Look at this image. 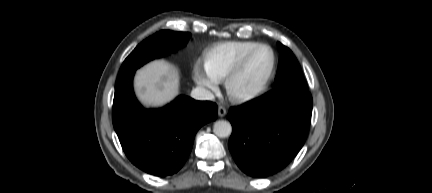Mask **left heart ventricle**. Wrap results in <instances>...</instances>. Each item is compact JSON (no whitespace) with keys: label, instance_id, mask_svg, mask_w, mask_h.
Segmentation results:
<instances>
[{"label":"left heart ventricle","instance_id":"obj_1","mask_svg":"<svg viewBox=\"0 0 432 193\" xmlns=\"http://www.w3.org/2000/svg\"><path fill=\"white\" fill-rule=\"evenodd\" d=\"M271 65V51L267 48L258 50L234 80V89L240 93H248L258 89L264 83Z\"/></svg>","mask_w":432,"mask_h":193}]
</instances>
